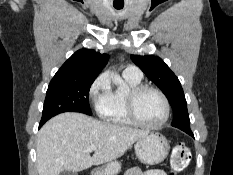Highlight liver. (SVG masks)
I'll list each match as a JSON object with an SVG mask.
<instances>
[{"label":"liver","mask_w":233,"mask_h":175,"mask_svg":"<svg viewBox=\"0 0 233 175\" xmlns=\"http://www.w3.org/2000/svg\"><path fill=\"white\" fill-rule=\"evenodd\" d=\"M148 131L98 121L81 113L66 112L50 119L39 131V175L78 172L121 157ZM97 148L90 156L87 148Z\"/></svg>","instance_id":"1"}]
</instances>
